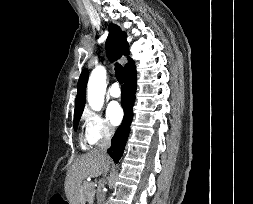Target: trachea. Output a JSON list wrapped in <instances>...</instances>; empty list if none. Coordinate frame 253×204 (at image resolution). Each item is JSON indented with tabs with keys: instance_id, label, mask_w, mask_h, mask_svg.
<instances>
[{
	"instance_id": "trachea-1",
	"label": "trachea",
	"mask_w": 253,
	"mask_h": 204,
	"mask_svg": "<svg viewBox=\"0 0 253 204\" xmlns=\"http://www.w3.org/2000/svg\"><path fill=\"white\" fill-rule=\"evenodd\" d=\"M115 74H116V78H117L118 82L120 84H122L123 83V68L120 64H116Z\"/></svg>"
}]
</instances>
